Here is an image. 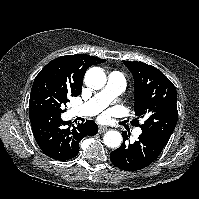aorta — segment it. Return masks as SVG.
I'll return each mask as SVG.
<instances>
[{"mask_svg":"<svg viewBox=\"0 0 199 199\" xmlns=\"http://www.w3.org/2000/svg\"><path fill=\"white\" fill-rule=\"evenodd\" d=\"M85 84L95 90L103 88L107 78L100 67H92L85 74ZM104 143L110 148H118L122 142V136L118 131L110 130L103 137Z\"/></svg>","mask_w":199,"mask_h":199,"instance_id":"obj_1","label":"aorta"}]
</instances>
